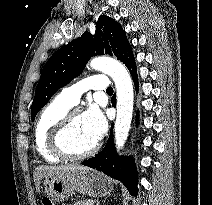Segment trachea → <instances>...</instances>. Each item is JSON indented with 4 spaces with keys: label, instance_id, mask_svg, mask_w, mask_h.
Listing matches in <instances>:
<instances>
[{
    "label": "trachea",
    "instance_id": "trachea-1",
    "mask_svg": "<svg viewBox=\"0 0 212 205\" xmlns=\"http://www.w3.org/2000/svg\"><path fill=\"white\" fill-rule=\"evenodd\" d=\"M107 93H113V88L112 87H108L106 90Z\"/></svg>",
    "mask_w": 212,
    "mask_h": 205
}]
</instances>
